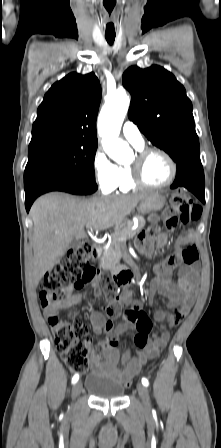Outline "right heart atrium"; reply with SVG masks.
Masks as SVG:
<instances>
[{"label": "right heart atrium", "mask_w": 221, "mask_h": 448, "mask_svg": "<svg viewBox=\"0 0 221 448\" xmlns=\"http://www.w3.org/2000/svg\"><path fill=\"white\" fill-rule=\"evenodd\" d=\"M93 172L102 192L110 193L116 189L120 178V168L101 150H98L93 158Z\"/></svg>", "instance_id": "1"}]
</instances>
